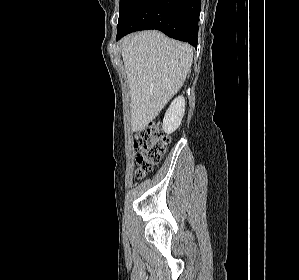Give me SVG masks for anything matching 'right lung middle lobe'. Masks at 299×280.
Returning <instances> with one entry per match:
<instances>
[{
  "mask_svg": "<svg viewBox=\"0 0 299 280\" xmlns=\"http://www.w3.org/2000/svg\"><path fill=\"white\" fill-rule=\"evenodd\" d=\"M123 1H124V0H120V5H119V8L121 7V5H122Z\"/></svg>",
  "mask_w": 299,
  "mask_h": 280,
  "instance_id": "obj_1",
  "label": "right lung middle lobe"
}]
</instances>
